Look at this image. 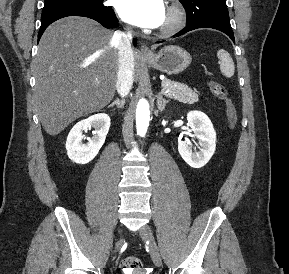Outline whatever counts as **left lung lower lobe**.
I'll return each instance as SVG.
<instances>
[{
  "instance_id": "0a47b994",
  "label": "left lung lower lobe",
  "mask_w": 289,
  "mask_h": 274,
  "mask_svg": "<svg viewBox=\"0 0 289 274\" xmlns=\"http://www.w3.org/2000/svg\"><path fill=\"white\" fill-rule=\"evenodd\" d=\"M198 28H213L223 33L227 34L231 40L235 43L233 30L231 28L229 20H221V19H206L202 21L195 22L193 24L187 25L183 30H181L176 36H180L185 34L191 30ZM160 43V42H157Z\"/></svg>"
}]
</instances>
